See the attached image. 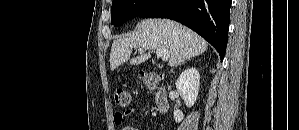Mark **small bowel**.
Segmentation results:
<instances>
[{
    "label": "small bowel",
    "instance_id": "c3829d8e",
    "mask_svg": "<svg viewBox=\"0 0 299 130\" xmlns=\"http://www.w3.org/2000/svg\"><path fill=\"white\" fill-rule=\"evenodd\" d=\"M134 114V109H128L124 113L116 112L114 115V123L116 125H121L125 119V117L131 116ZM122 130H140L138 127L134 125H127L122 128Z\"/></svg>",
    "mask_w": 299,
    "mask_h": 130
}]
</instances>
